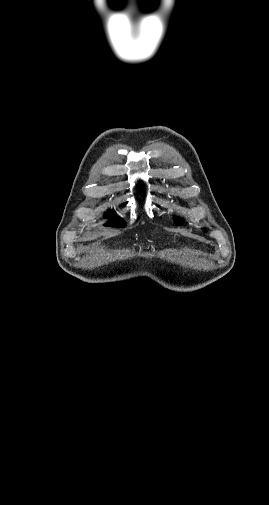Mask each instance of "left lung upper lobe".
Here are the masks:
<instances>
[{"mask_svg":"<svg viewBox=\"0 0 269 505\" xmlns=\"http://www.w3.org/2000/svg\"><path fill=\"white\" fill-rule=\"evenodd\" d=\"M175 221L179 222L180 221V218H176Z\"/></svg>","mask_w":269,"mask_h":505,"instance_id":"obj_1","label":"left lung upper lobe"}]
</instances>
